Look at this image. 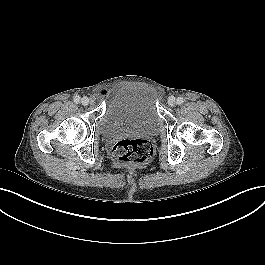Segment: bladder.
Masks as SVG:
<instances>
[{"label":"bladder","instance_id":"31cf9c89","mask_svg":"<svg viewBox=\"0 0 265 265\" xmlns=\"http://www.w3.org/2000/svg\"><path fill=\"white\" fill-rule=\"evenodd\" d=\"M161 124L155 90L148 85L124 84L106 102L101 132L106 138L126 133L154 134Z\"/></svg>","mask_w":265,"mask_h":265}]
</instances>
